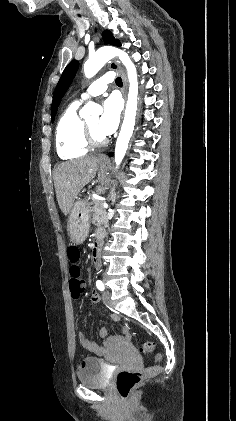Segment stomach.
<instances>
[{
    "instance_id": "0dacf381",
    "label": "stomach",
    "mask_w": 236,
    "mask_h": 421,
    "mask_svg": "<svg viewBox=\"0 0 236 421\" xmlns=\"http://www.w3.org/2000/svg\"><path fill=\"white\" fill-rule=\"evenodd\" d=\"M97 170L101 176H105L109 162L101 160L100 156L97 158ZM99 192L102 190V186L98 188ZM91 219V206L88 200H76L74 202L68 217L67 233L70 237L71 243L74 245H82L86 241L89 235Z\"/></svg>"
}]
</instances>
